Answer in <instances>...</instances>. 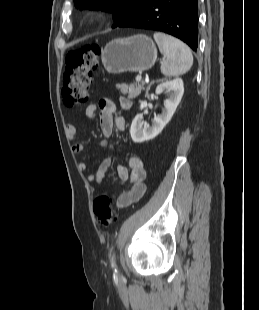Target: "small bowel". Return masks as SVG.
<instances>
[{"label":"small bowel","instance_id":"1","mask_svg":"<svg viewBox=\"0 0 259 310\" xmlns=\"http://www.w3.org/2000/svg\"><path fill=\"white\" fill-rule=\"evenodd\" d=\"M121 109L128 110L131 107V102L125 97L119 99ZM117 107L113 100L108 98L100 99L97 104L91 103L86 108V116L89 119L99 118L100 128L105 139L99 141L101 147L110 146L114 149L119 146L118 143H110L108 138L115 130L123 131L126 123L123 117L116 116ZM79 133L76 125L68 123L66 126V136L73 140ZM84 149L83 144L77 143L73 146L75 153H80ZM112 162L111 157L105 158L96 170L90 171L87 174V180L92 183H101L105 180L106 173ZM88 167L86 160H81L78 168L85 171ZM146 170L143 160L138 156H131L128 160V167L118 165L116 168V178L120 182L128 181L131 184L129 191L123 192L117 199V207L122 209L138 202L146 193Z\"/></svg>","mask_w":259,"mask_h":310}]
</instances>
